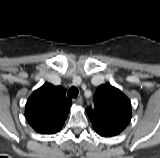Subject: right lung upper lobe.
I'll use <instances>...</instances> for the list:
<instances>
[{"label": "right lung upper lobe", "instance_id": "cb5924a9", "mask_svg": "<svg viewBox=\"0 0 160 158\" xmlns=\"http://www.w3.org/2000/svg\"><path fill=\"white\" fill-rule=\"evenodd\" d=\"M71 103L62 86L45 83L29 97L25 107L26 120L38 133H57L66 120Z\"/></svg>", "mask_w": 160, "mask_h": 158}]
</instances>
